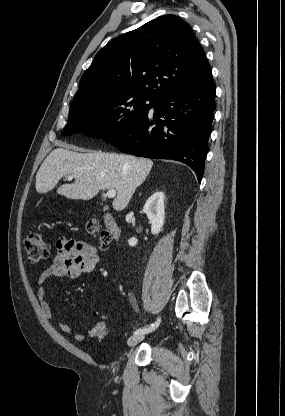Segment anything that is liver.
Masks as SVG:
<instances>
[{
	"mask_svg": "<svg viewBox=\"0 0 285 416\" xmlns=\"http://www.w3.org/2000/svg\"><path fill=\"white\" fill-rule=\"evenodd\" d=\"M45 158L36 174V192L46 194L57 186L63 176H73L74 184H63L57 194L69 200H92L100 190H116L112 202L116 212L128 206L136 188L145 182L152 170V160L134 158L125 154H103L90 152L78 154L77 150L64 142Z\"/></svg>",
	"mask_w": 285,
	"mask_h": 416,
	"instance_id": "obj_1",
	"label": "liver"
}]
</instances>
